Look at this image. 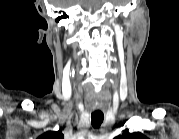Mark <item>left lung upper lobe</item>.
<instances>
[{
	"label": "left lung upper lobe",
	"instance_id": "1",
	"mask_svg": "<svg viewBox=\"0 0 179 139\" xmlns=\"http://www.w3.org/2000/svg\"><path fill=\"white\" fill-rule=\"evenodd\" d=\"M142 136V134L140 133H134V134H130V133H124L122 136H118V139H137V137Z\"/></svg>",
	"mask_w": 179,
	"mask_h": 139
}]
</instances>
